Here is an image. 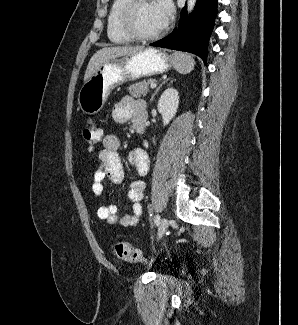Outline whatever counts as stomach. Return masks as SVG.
I'll return each mask as SVG.
<instances>
[{
	"label": "stomach",
	"mask_w": 298,
	"mask_h": 325,
	"mask_svg": "<svg viewBox=\"0 0 298 325\" xmlns=\"http://www.w3.org/2000/svg\"><path fill=\"white\" fill-rule=\"evenodd\" d=\"M172 66L173 60L168 52L154 46H145L134 54H123L120 58L107 60L82 84L78 104L85 114H96L116 86L130 80L163 74L171 70Z\"/></svg>",
	"instance_id": "obj_1"
}]
</instances>
